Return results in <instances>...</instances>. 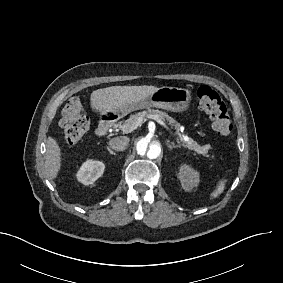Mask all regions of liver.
Listing matches in <instances>:
<instances>
[{
    "label": "liver",
    "mask_w": 283,
    "mask_h": 283,
    "mask_svg": "<svg viewBox=\"0 0 283 283\" xmlns=\"http://www.w3.org/2000/svg\"><path fill=\"white\" fill-rule=\"evenodd\" d=\"M154 86H111L97 89L91 93V108L100 112H117V108L126 103L138 102L148 97ZM61 150L56 140L48 137L46 144L45 171L50 179H54L60 169Z\"/></svg>",
    "instance_id": "6515ba94"
}]
</instances>
